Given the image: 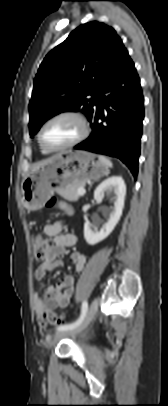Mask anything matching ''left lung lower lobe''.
Instances as JSON below:
<instances>
[{
  "instance_id": "0a47b994",
  "label": "left lung lower lobe",
  "mask_w": 168,
  "mask_h": 406,
  "mask_svg": "<svg viewBox=\"0 0 168 406\" xmlns=\"http://www.w3.org/2000/svg\"><path fill=\"white\" fill-rule=\"evenodd\" d=\"M143 119L140 79L124 49L99 89L92 134L74 148L117 157L136 178Z\"/></svg>"
}]
</instances>
